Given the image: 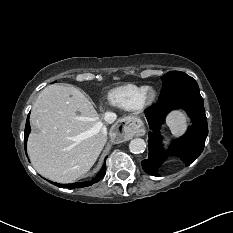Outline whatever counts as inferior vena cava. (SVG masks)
Masks as SVG:
<instances>
[{
    "label": "inferior vena cava",
    "instance_id": "inferior-vena-cava-1",
    "mask_svg": "<svg viewBox=\"0 0 233 233\" xmlns=\"http://www.w3.org/2000/svg\"><path fill=\"white\" fill-rule=\"evenodd\" d=\"M116 114L115 113H111V112H106L104 114V121L107 123V124H111L113 123L115 120H116ZM101 134L103 137L106 138L107 136V129L105 127L102 128L101 130Z\"/></svg>",
    "mask_w": 233,
    "mask_h": 233
}]
</instances>
